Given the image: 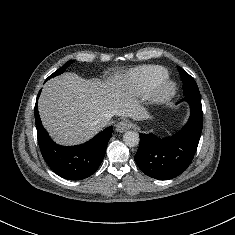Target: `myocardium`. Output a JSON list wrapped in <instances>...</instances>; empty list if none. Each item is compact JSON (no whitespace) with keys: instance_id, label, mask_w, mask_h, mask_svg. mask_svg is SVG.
Returning a JSON list of instances; mask_svg holds the SVG:
<instances>
[{"instance_id":"f54148a6","label":"myocardium","mask_w":235,"mask_h":235,"mask_svg":"<svg viewBox=\"0 0 235 235\" xmlns=\"http://www.w3.org/2000/svg\"><path fill=\"white\" fill-rule=\"evenodd\" d=\"M178 90L175 81L169 77L159 80L148 93V99L153 104H163L170 101Z\"/></svg>"}]
</instances>
